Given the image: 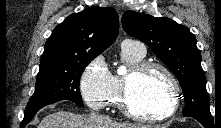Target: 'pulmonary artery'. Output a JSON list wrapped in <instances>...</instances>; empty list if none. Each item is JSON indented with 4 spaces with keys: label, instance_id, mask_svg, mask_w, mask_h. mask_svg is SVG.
<instances>
[{
    "label": "pulmonary artery",
    "instance_id": "obj_1",
    "mask_svg": "<svg viewBox=\"0 0 221 128\" xmlns=\"http://www.w3.org/2000/svg\"><path fill=\"white\" fill-rule=\"evenodd\" d=\"M121 46L131 48L141 55H145L146 53L144 44L139 40L125 39Z\"/></svg>",
    "mask_w": 221,
    "mask_h": 128
}]
</instances>
